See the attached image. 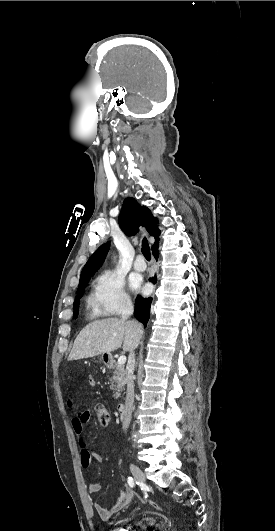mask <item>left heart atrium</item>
<instances>
[{
    "label": "left heart atrium",
    "instance_id": "obj_1",
    "mask_svg": "<svg viewBox=\"0 0 275 531\" xmlns=\"http://www.w3.org/2000/svg\"><path fill=\"white\" fill-rule=\"evenodd\" d=\"M132 289L137 290L141 288V278L138 275L132 274L129 279Z\"/></svg>",
    "mask_w": 275,
    "mask_h": 531
}]
</instances>
